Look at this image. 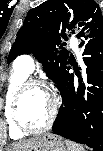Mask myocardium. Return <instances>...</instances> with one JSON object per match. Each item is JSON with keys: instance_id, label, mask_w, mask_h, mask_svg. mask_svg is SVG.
Returning <instances> with one entry per match:
<instances>
[{"instance_id": "obj_1", "label": "myocardium", "mask_w": 103, "mask_h": 151, "mask_svg": "<svg viewBox=\"0 0 103 151\" xmlns=\"http://www.w3.org/2000/svg\"><path fill=\"white\" fill-rule=\"evenodd\" d=\"M33 87L42 88L48 95L50 101V112L46 123L39 128H30L25 126L19 119V104L24 94ZM58 112V98L53 90L42 80L28 79L16 91L11 104V119L15 127L25 134L41 133L53 125Z\"/></svg>"}]
</instances>
